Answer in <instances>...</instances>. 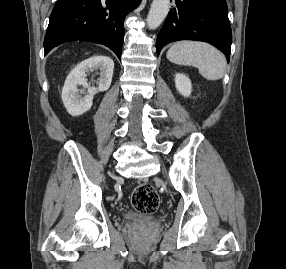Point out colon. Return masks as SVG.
Returning a JSON list of instances; mask_svg holds the SVG:
<instances>
[{"label": "colon", "mask_w": 286, "mask_h": 269, "mask_svg": "<svg viewBox=\"0 0 286 269\" xmlns=\"http://www.w3.org/2000/svg\"><path fill=\"white\" fill-rule=\"evenodd\" d=\"M133 207L140 213L151 214L160 206V198L148 183H142L136 186L131 197Z\"/></svg>", "instance_id": "colon-1"}]
</instances>
